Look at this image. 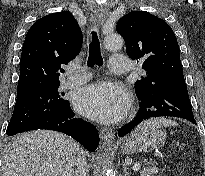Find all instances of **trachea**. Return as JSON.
<instances>
[{
    "label": "trachea",
    "instance_id": "1",
    "mask_svg": "<svg viewBox=\"0 0 205 176\" xmlns=\"http://www.w3.org/2000/svg\"><path fill=\"white\" fill-rule=\"evenodd\" d=\"M103 58L101 56L100 42L96 31H92V38L89 44V56L87 65L92 67L96 65H102Z\"/></svg>",
    "mask_w": 205,
    "mask_h": 176
}]
</instances>
